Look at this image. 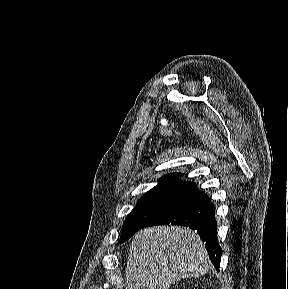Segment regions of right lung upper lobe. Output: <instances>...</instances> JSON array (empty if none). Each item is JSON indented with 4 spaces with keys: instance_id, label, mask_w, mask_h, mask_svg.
Segmentation results:
<instances>
[{
    "instance_id": "obj_1",
    "label": "right lung upper lobe",
    "mask_w": 288,
    "mask_h": 289,
    "mask_svg": "<svg viewBox=\"0 0 288 289\" xmlns=\"http://www.w3.org/2000/svg\"><path fill=\"white\" fill-rule=\"evenodd\" d=\"M179 173H170L167 175H164L161 178V181L158 185L154 187V189L157 188H171V189H180V190H186L189 191L191 188L195 186V183L188 182V181H181L179 180Z\"/></svg>"
}]
</instances>
